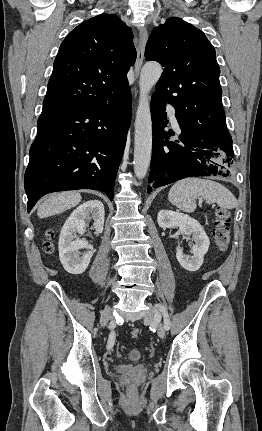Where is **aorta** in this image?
Segmentation results:
<instances>
[{"label":"aorta","mask_w":262,"mask_h":431,"mask_svg":"<svg viewBox=\"0 0 262 431\" xmlns=\"http://www.w3.org/2000/svg\"><path fill=\"white\" fill-rule=\"evenodd\" d=\"M162 74V67L156 62L146 63L140 73L139 104L135 119L134 140V173L143 179L148 171L152 151V120L149 104V92L158 82Z\"/></svg>","instance_id":"1"}]
</instances>
